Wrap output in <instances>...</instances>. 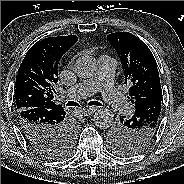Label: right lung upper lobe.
<instances>
[{
  "label": "right lung upper lobe",
  "mask_w": 184,
  "mask_h": 184,
  "mask_svg": "<svg viewBox=\"0 0 184 184\" xmlns=\"http://www.w3.org/2000/svg\"><path fill=\"white\" fill-rule=\"evenodd\" d=\"M78 40L75 35L49 37L35 43L26 53L15 84L16 110L62 107L53 101V85L58 82V64L63 54Z\"/></svg>",
  "instance_id": "right-lung-upper-lobe-1"
}]
</instances>
